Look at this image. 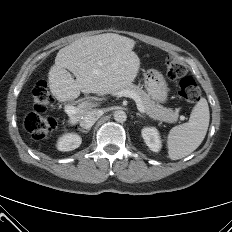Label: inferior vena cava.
Returning <instances> with one entry per match:
<instances>
[{
	"label": "inferior vena cava",
	"instance_id": "602c4592",
	"mask_svg": "<svg viewBox=\"0 0 232 232\" xmlns=\"http://www.w3.org/2000/svg\"><path fill=\"white\" fill-rule=\"evenodd\" d=\"M103 112L98 109L87 111L80 119V126L89 129L102 116Z\"/></svg>",
	"mask_w": 232,
	"mask_h": 232
}]
</instances>
